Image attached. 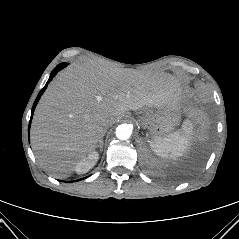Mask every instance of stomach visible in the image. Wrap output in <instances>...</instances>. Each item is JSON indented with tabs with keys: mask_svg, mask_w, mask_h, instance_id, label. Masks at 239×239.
Masks as SVG:
<instances>
[{
	"mask_svg": "<svg viewBox=\"0 0 239 239\" xmlns=\"http://www.w3.org/2000/svg\"><path fill=\"white\" fill-rule=\"evenodd\" d=\"M181 107H161L156 111H145L140 117L143 126L148 128L149 137L168 136L181 121Z\"/></svg>",
	"mask_w": 239,
	"mask_h": 239,
	"instance_id": "0dacf381",
	"label": "stomach"
}]
</instances>
